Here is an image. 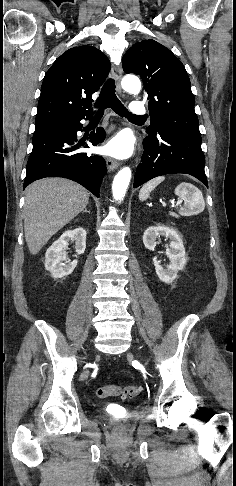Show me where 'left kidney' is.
<instances>
[{"label": "left kidney", "mask_w": 236, "mask_h": 486, "mask_svg": "<svg viewBox=\"0 0 236 486\" xmlns=\"http://www.w3.org/2000/svg\"><path fill=\"white\" fill-rule=\"evenodd\" d=\"M165 236L171 240L170 248L166 250V255L169 257L170 263L167 268L160 265L157 257H153L155 272L159 279L167 284L172 283L180 270H182L187 262L186 252L183 241L175 229L166 226H152L146 229L143 234V243L148 250H154L157 244V238Z\"/></svg>", "instance_id": "left-kidney-1"}]
</instances>
